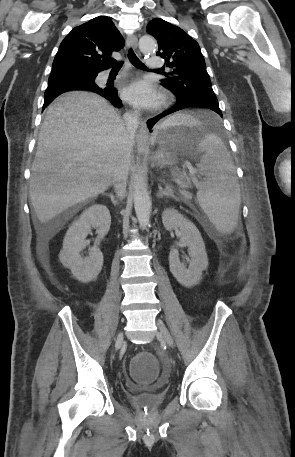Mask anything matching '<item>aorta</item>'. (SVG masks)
Here are the masks:
<instances>
[{
    "label": "aorta",
    "instance_id": "1",
    "mask_svg": "<svg viewBox=\"0 0 295 457\" xmlns=\"http://www.w3.org/2000/svg\"><path fill=\"white\" fill-rule=\"evenodd\" d=\"M155 40L148 35L139 40V48L143 53H150L155 49ZM133 198L136 216L142 229L149 225L151 201L148 194V184L145 171L138 164L133 179Z\"/></svg>",
    "mask_w": 295,
    "mask_h": 457
}]
</instances>
